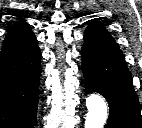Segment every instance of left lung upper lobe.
Wrapping results in <instances>:
<instances>
[{
    "label": "left lung upper lobe",
    "mask_w": 142,
    "mask_h": 128,
    "mask_svg": "<svg viewBox=\"0 0 142 128\" xmlns=\"http://www.w3.org/2000/svg\"><path fill=\"white\" fill-rule=\"evenodd\" d=\"M91 23L93 24V25H95L96 27H99V28H101V29H104V27L102 26V25H100L99 23H97V22H94L93 20H91ZM105 30V29H104Z\"/></svg>",
    "instance_id": "left-lung-upper-lobe-1"
}]
</instances>
